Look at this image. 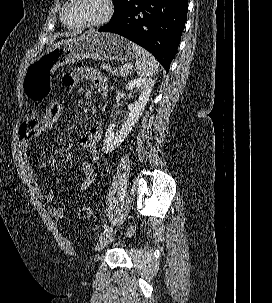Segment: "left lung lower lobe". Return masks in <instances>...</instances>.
<instances>
[{
    "instance_id": "obj_1",
    "label": "left lung lower lobe",
    "mask_w": 272,
    "mask_h": 303,
    "mask_svg": "<svg viewBox=\"0 0 272 303\" xmlns=\"http://www.w3.org/2000/svg\"><path fill=\"white\" fill-rule=\"evenodd\" d=\"M187 0H138L98 29L126 37L151 52L168 72L187 19Z\"/></svg>"
}]
</instances>
